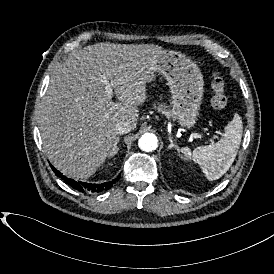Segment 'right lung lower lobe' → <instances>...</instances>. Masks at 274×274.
I'll use <instances>...</instances> for the list:
<instances>
[{"label": "right lung lower lobe", "mask_w": 274, "mask_h": 274, "mask_svg": "<svg viewBox=\"0 0 274 274\" xmlns=\"http://www.w3.org/2000/svg\"><path fill=\"white\" fill-rule=\"evenodd\" d=\"M51 168L55 172L56 176L60 177L63 179L67 184H69L71 187L74 189L80 191V192H86V191H91V192H101L103 190H108L112 187V185L118 180L117 178L114 179L113 181L105 182L102 184H88L85 182H77L73 179L67 178L63 176L58 170H56L52 165Z\"/></svg>", "instance_id": "98d812e1"}]
</instances>
